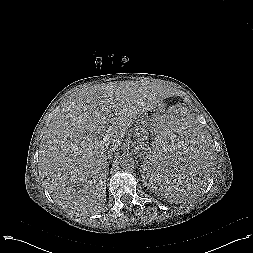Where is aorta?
Masks as SVG:
<instances>
[{"mask_svg":"<svg viewBox=\"0 0 253 253\" xmlns=\"http://www.w3.org/2000/svg\"><path fill=\"white\" fill-rule=\"evenodd\" d=\"M118 163L123 169H131L134 167L135 161L131 154L123 153L118 157Z\"/></svg>","mask_w":253,"mask_h":253,"instance_id":"aorta-1","label":"aorta"}]
</instances>
